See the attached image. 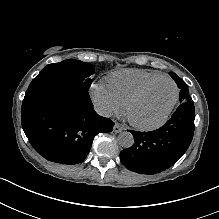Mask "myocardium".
I'll return each mask as SVG.
<instances>
[{
	"label": "myocardium",
	"instance_id": "1",
	"mask_svg": "<svg viewBox=\"0 0 219 219\" xmlns=\"http://www.w3.org/2000/svg\"><path fill=\"white\" fill-rule=\"evenodd\" d=\"M169 81L173 84L174 89H175V93H174V97L172 99V101L170 102V104L168 105V107L165 109L164 113L162 114V116L154 121V122H150V123H143V122H139L136 121L132 115H131V110L134 107V105L139 102L146 94L147 92L152 89L158 82L160 81ZM179 97V89L177 84L175 83L174 80H172L169 77L163 76L160 77L158 79L153 80L152 82L148 83L147 85H145L143 88H141L138 92H136L126 103L125 105V114L127 119L129 120L130 124L138 129H142V130H152L155 129L159 126H161L162 124H164L169 115L171 114L175 104L177 103Z\"/></svg>",
	"mask_w": 219,
	"mask_h": 219
}]
</instances>
